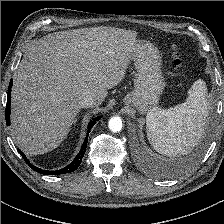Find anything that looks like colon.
Segmentation results:
<instances>
[{"mask_svg": "<svg viewBox=\"0 0 224 224\" xmlns=\"http://www.w3.org/2000/svg\"><path fill=\"white\" fill-rule=\"evenodd\" d=\"M183 64V55L180 51L175 50L172 59V67L178 69Z\"/></svg>", "mask_w": 224, "mask_h": 224, "instance_id": "obj_1", "label": "colon"}]
</instances>
